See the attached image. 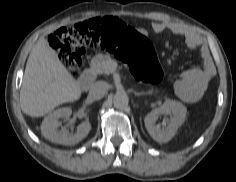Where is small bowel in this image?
<instances>
[{"mask_svg": "<svg viewBox=\"0 0 236 182\" xmlns=\"http://www.w3.org/2000/svg\"><path fill=\"white\" fill-rule=\"evenodd\" d=\"M152 30L156 34L170 31L175 35L182 36L186 45L191 49L201 47L202 66L183 71L175 83V91L183 101L195 102L199 100L215 72L209 51L202 45L201 38L195 32L179 24L164 21L154 22Z\"/></svg>", "mask_w": 236, "mask_h": 182, "instance_id": "c3829d8e", "label": "small bowel"}]
</instances>
